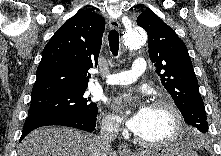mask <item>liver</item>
I'll return each mask as SVG.
<instances>
[{
    "instance_id": "obj_1",
    "label": "liver",
    "mask_w": 221,
    "mask_h": 156,
    "mask_svg": "<svg viewBox=\"0 0 221 156\" xmlns=\"http://www.w3.org/2000/svg\"><path fill=\"white\" fill-rule=\"evenodd\" d=\"M105 154V155H103ZM19 156H116L102 152L98 139L67 127H43L29 133L20 143Z\"/></svg>"
}]
</instances>
